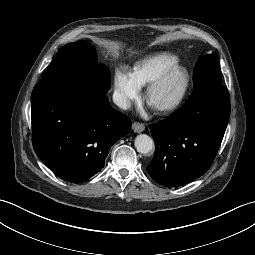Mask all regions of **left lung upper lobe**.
<instances>
[{
  "label": "left lung upper lobe",
  "instance_id": "1",
  "mask_svg": "<svg viewBox=\"0 0 255 255\" xmlns=\"http://www.w3.org/2000/svg\"><path fill=\"white\" fill-rule=\"evenodd\" d=\"M207 78H215L221 81L219 60L216 54L199 58L193 72L195 86Z\"/></svg>",
  "mask_w": 255,
  "mask_h": 255
}]
</instances>
